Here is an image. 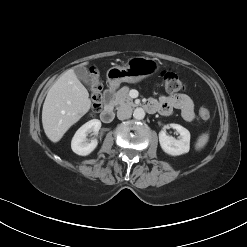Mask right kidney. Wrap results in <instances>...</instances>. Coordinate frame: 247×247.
Instances as JSON below:
<instances>
[{
  "instance_id": "right-kidney-1",
  "label": "right kidney",
  "mask_w": 247,
  "mask_h": 247,
  "mask_svg": "<svg viewBox=\"0 0 247 247\" xmlns=\"http://www.w3.org/2000/svg\"><path fill=\"white\" fill-rule=\"evenodd\" d=\"M101 128V121L93 119L82 125L75 133L71 141V148L74 153L86 156L89 155L97 147L96 138L89 140L88 134L97 135Z\"/></svg>"
}]
</instances>
